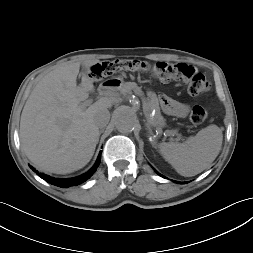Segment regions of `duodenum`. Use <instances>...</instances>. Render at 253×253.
<instances>
[{
  "mask_svg": "<svg viewBox=\"0 0 253 253\" xmlns=\"http://www.w3.org/2000/svg\"><path fill=\"white\" fill-rule=\"evenodd\" d=\"M117 84L115 83V81H107L102 83L99 88L98 91L100 94H103L107 91H109L113 86H116Z\"/></svg>",
  "mask_w": 253,
  "mask_h": 253,
  "instance_id": "1",
  "label": "duodenum"
}]
</instances>
